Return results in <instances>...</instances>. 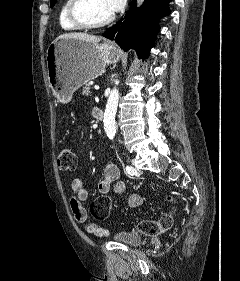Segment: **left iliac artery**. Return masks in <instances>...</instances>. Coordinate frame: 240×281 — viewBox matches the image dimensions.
I'll use <instances>...</instances> for the list:
<instances>
[{
    "label": "left iliac artery",
    "instance_id": "obj_1",
    "mask_svg": "<svg viewBox=\"0 0 240 281\" xmlns=\"http://www.w3.org/2000/svg\"><path fill=\"white\" fill-rule=\"evenodd\" d=\"M125 169H126V172L128 174H130V175H135L136 174V169L133 168L132 166L127 165Z\"/></svg>",
    "mask_w": 240,
    "mask_h": 281
}]
</instances>
